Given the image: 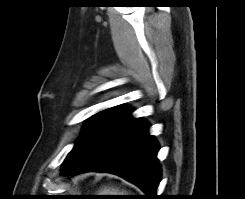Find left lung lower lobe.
Masks as SVG:
<instances>
[{
	"instance_id": "left-lung-lower-lobe-1",
	"label": "left lung lower lobe",
	"mask_w": 245,
	"mask_h": 199,
	"mask_svg": "<svg viewBox=\"0 0 245 199\" xmlns=\"http://www.w3.org/2000/svg\"><path fill=\"white\" fill-rule=\"evenodd\" d=\"M126 109L100 130L85 146L82 153L61 175L84 171L110 172L136 184L145 199H156L161 179L157 142L149 135V125L133 118Z\"/></svg>"
}]
</instances>
